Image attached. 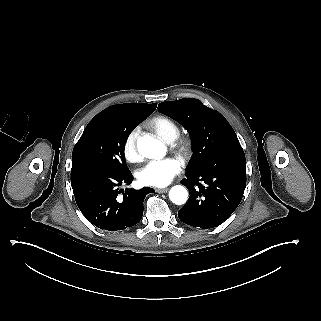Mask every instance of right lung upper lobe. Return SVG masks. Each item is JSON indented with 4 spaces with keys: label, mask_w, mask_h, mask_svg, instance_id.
I'll return each instance as SVG.
<instances>
[{
    "label": "right lung upper lobe",
    "mask_w": 321,
    "mask_h": 321,
    "mask_svg": "<svg viewBox=\"0 0 321 321\" xmlns=\"http://www.w3.org/2000/svg\"><path fill=\"white\" fill-rule=\"evenodd\" d=\"M156 104H133L125 103L110 106L102 111L112 119L122 122L141 123L156 109Z\"/></svg>",
    "instance_id": "obj_1"
}]
</instances>
